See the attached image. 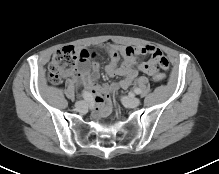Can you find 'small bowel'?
Wrapping results in <instances>:
<instances>
[{"label":"small bowel","mask_w":219,"mask_h":174,"mask_svg":"<svg viewBox=\"0 0 219 174\" xmlns=\"http://www.w3.org/2000/svg\"><path fill=\"white\" fill-rule=\"evenodd\" d=\"M103 49L109 54L110 63L106 66V73L109 76L120 75L124 76L122 80L112 82L110 85L101 87L96 84V78L98 77L100 65L98 62H87L89 53L87 50H78L79 54L87 55L81 59V64L78 69V78H73L71 82L75 83L79 81L82 85L90 91L91 97L94 100L95 116L104 117L110 113V106L106 101L107 96L121 88H128L133 80L138 75V56L149 54L151 56V62L143 64L139 67V70L147 75L153 76V73L161 68L167 70L169 62L166 55L152 46H131V45H118L107 44L103 46ZM120 57L123 58L122 64H119Z\"/></svg>","instance_id":"obj_1"}]
</instances>
